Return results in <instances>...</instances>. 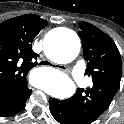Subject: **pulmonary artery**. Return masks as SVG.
Returning a JSON list of instances; mask_svg holds the SVG:
<instances>
[{
    "label": "pulmonary artery",
    "mask_w": 124,
    "mask_h": 124,
    "mask_svg": "<svg viewBox=\"0 0 124 124\" xmlns=\"http://www.w3.org/2000/svg\"><path fill=\"white\" fill-rule=\"evenodd\" d=\"M85 64L82 61H79L76 63V65L73 67L72 75L74 77V80L79 88L84 87L85 85Z\"/></svg>",
    "instance_id": "1"
}]
</instances>
